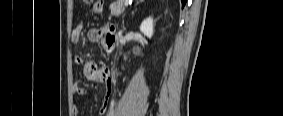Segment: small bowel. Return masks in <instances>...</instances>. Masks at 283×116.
<instances>
[{
    "mask_svg": "<svg viewBox=\"0 0 283 116\" xmlns=\"http://www.w3.org/2000/svg\"><path fill=\"white\" fill-rule=\"evenodd\" d=\"M93 3L94 11L101 12L103 1L98 0ZM88 38L90 41L103 44L108 49H113L116 44L114 27L111 24H106L99 29H90L88 31ZM71 39L74 43H78L82 40V28L80 26L73 30ZM75 62L77 65L83 66V75L86 80L105 84V97L99 110L100 116L105 115L108 108L109 98L111 97L114 88V80L111 77L109 69L100 66L96 61H86L81 55L76 56ZM73 94L75 97H81L87 94V90L76 82L73 87ZM73 112L74 115L79 113V105L77 103L74 104Z\"/></svg>",
    "mask_w": 283,
    "mask_h": 116,
    "instance_id": "small-bowel-1",
    "label": "small bowel"
}]
</instances>
